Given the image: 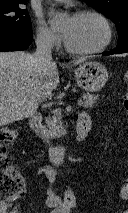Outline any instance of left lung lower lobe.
Here are the masks:
<instances>
[{"mask_svg": "<svg viewBox=\"0 0 128 213\" xmlns=\"http://www.w3.org/2000/svg\"><path fill=\"white\" fill-rule=\"evenodd\" d=\"M125 52H128V43H124L121 46H117L115 49L103 53V55L120 54V53H125Z\"/></svg>", "mask_w": 128, "mask_h": 213, "instance_id": "1", "label": "left lung lower lobe"}]
</instances>
